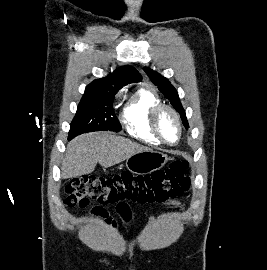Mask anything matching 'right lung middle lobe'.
Segmentation results:
<instances>
[{"label":"right lung middle lobe","instance_id":"obj_1","mask_svg":"<svg viewBox=\"0 0 267 270\" xmlns=\"http://www.w3.org/2000/svg\"><path fill=\"white\" fill-rule=\"evenodd\" d=\"M117 91L85 90L70 125L68 139L85 132L120 131L122 127L113 110V99Z\"/></svg>","mask_w":267,"mask_h":270}]
</instances>
